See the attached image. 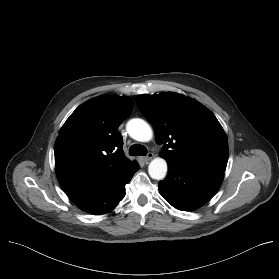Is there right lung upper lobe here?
<instances>
[{
	"label": "right lung upper lobe",
	"mask_w": 279,
	"mask_h": 279,
	"mask_svg": "<svg viewBox=\"0 0 279 279\" xmlns=\"http://www.w3.org/2000/svg\"><path fill=\"white\" fill-rule=\"evenodd\" d=\"M130 97L99 96L80 105L55 142V169L69 197L94 190L130 169L117 131L133 109Z\"/></svg>",
	"instance_id": "right-lung-upper-lobe-1"
}]
</instances>
